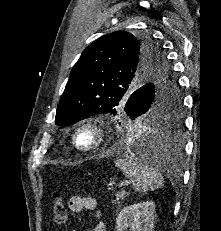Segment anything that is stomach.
<instances>
[{"mask_svg":"<svg viewBox=\"0 0 221 231\" xmlns=\"http://www.w3.org/2000/svg\"><path fill=\"white\" fill-rule=\"evenodd\" d=\"M144 128H146V125L145 124H142L140 127H133L132 129H130V130H141V129H144Z\"/></svg>","mask_w":221,"mask_h":231,"instance_id":"1","label":"stomach"}]
</instances>
